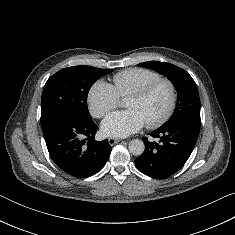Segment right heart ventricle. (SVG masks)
I'll return each instance as SVG.
<instances>
[{
  "instance_id": "e07e8e85",
  "label": "right heart ventricle",
  "mask_w": 235,
  "mask_h": 235,
  "mask_svg": "<svg viewBox=\"0 0 235 235\" xmlns=\"http://www.w3.org/2000/svg\"><path fill=\"white\" fill-rule=\"evenodd\" d=\"M159 78V74L153 70L129 68L115 74L111 86L119 98H126L134 91Z\"/></svg>"
}]
</instances>
